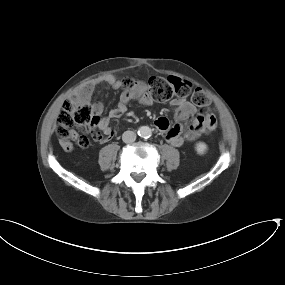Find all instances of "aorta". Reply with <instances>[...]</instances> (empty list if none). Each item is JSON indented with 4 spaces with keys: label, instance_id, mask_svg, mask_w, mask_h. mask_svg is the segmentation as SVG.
I'll return each mask as SVG.
<instances>
[{
    "label": "aorta",
    "instance_id": "obj_1",
    "mask_svg": "<svg viewBox=\"0 0 285 285\" xmlns=\"http://www.w3.org/2000/svg\"><path fill=\"white\" fill-rule=\"evenodd\" d=\"M138 135L142 138H149L152 135V130L148 126H142L138 130Z\"/></svg>",
    "mask_w": 285,
    "mask_h": 285
}]
</instances>
